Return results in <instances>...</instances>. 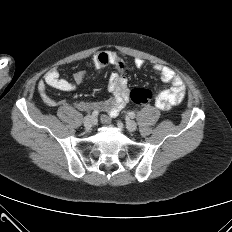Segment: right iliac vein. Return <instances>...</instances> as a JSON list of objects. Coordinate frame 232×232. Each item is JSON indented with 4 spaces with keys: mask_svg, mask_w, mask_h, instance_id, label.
I'll list each match as a JSON object with an SVG mask.
<instances>
[{
    "mask_svg": "<svg viewBox=\"0 0 232 232\" xmlns=\"http://www.w3.org/2000/svg\"><path fill=\"white\" fill-rule=\"evenodd\" d=\"M83 124L87 129L91 128L94 124V118L92 116H86L83 119Z\"/></svg>",
    "mask_w": 232,
    "mask_h": 232,
    "instance_id": "1",
    "label": "right iliac vein"
}]
</instances>
